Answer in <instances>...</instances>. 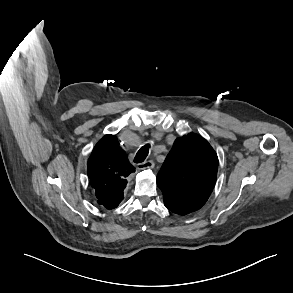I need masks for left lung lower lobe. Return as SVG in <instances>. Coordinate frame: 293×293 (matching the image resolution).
I'll list each match as a JSON object with an SVG mask.
<instances>
[{
  "instance_id": "1",
  "label": "left lung lower lobe",
  "mask_w": 293,
  "mask_h": 293,
  "mask_svg": "<svg viewBox=\"0 0 293 293\" xmlns=\"http://www.w3.org/2000/svg\"><path fill=\"white\" fill-rule=\"evenodd\" d=\"M165 206L172 212L179 214V215H186L189 212L181 207H178L174 204L168 203V202H164Z\"/></svg>"
}]
</instances>
